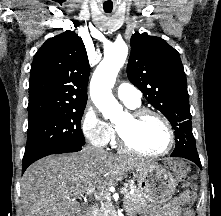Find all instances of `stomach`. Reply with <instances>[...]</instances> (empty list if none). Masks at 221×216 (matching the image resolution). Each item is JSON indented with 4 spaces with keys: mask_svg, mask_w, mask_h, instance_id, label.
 I'll return each instance as SVG.
<instances>
[{
    "mask_svg": "<svg viewBox=\"0 0 221 216\" xmlns=\"http://www.w3.org/2000/svg\"><path fill=\"white\" fill-rule=\"evenodd\" d=\"M133 174L146 203H166L175 193L176 180L169 171L159 165L150 164L143 168H137Z\"/></svg>",
    "mask_w": 221,
    "mask_h": 216,
    "instance_id": "0dacf381",
    "label": "stomach"
}]
</instances>
